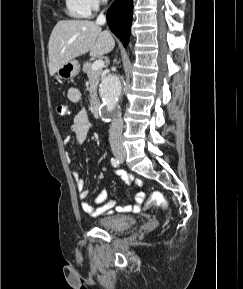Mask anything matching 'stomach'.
<instances>
[{"instance_id":"stomach-1","label":"stomach","mask_w":243,"mask_h":289,"mask_svg":"<svg viewBox=\"0 0 243 289\" xmlns=\"http://www.w3.org/2000/svg\"><path fill=\"white\" fill-rule=\"evenodd\" d=\"M80 71V64L77 60L73 59L62 65L58 70V77L64 80L75 77Z\"/></svg>"}]
</instances>
